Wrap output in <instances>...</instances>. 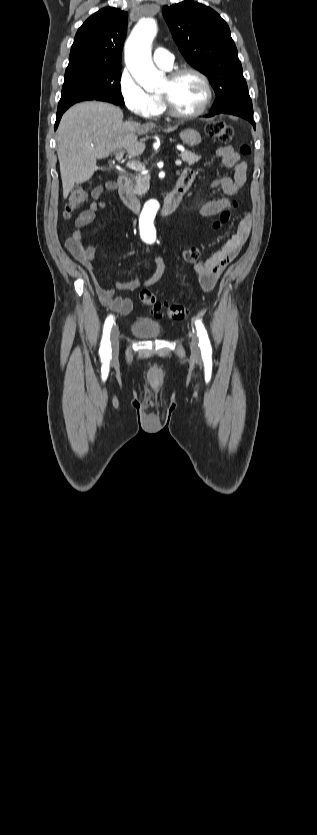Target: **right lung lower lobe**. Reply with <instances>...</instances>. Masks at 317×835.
<instances>
[{
	"label": "right lung lower lobe",
	"instance_id": "1",
	"mask_svg": "<svg viewBox=\"0 0 317 835\" xmlns=\"http://www.w3.org/2000/svg\"><path fill=\"white\" fill-rule=\"evenodd\" d=\"M97 100H99V101H105V102H110V103H113V104H116V105H121V103H120V102H118V101H116V100H114V99H112V98H99V99H97ZM69 107H70V106H69ZM69 107H65V108L58 109L57 114H56V122H55V126H54V128H55V129H57V127H58V124H59V121H60V119H61L62 114H63V113H64V112H65V111L69 108Z\"/></svg>",
	"mask_w": 317,
	"mask_h": 835
}]
</instances>
